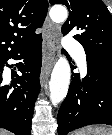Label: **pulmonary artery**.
I'll use <instances>...</instances> for the list:
<instances>
[{
  "instance_id": "obj_1",
  "label": "pulmonary artery",
  "mask_w": 112,
  "mask_h": 135,
  "mask_svg": "<svg viewBox=\"0 0 112 135\" xmlns=\"http://www.w3.org/2000/svg\"><path fill=\"white\" fill-rule=\"evenodd\" d=\"M64 46L77 61L82 71L86 70V56L82 46L74 39L67 37L64 40Z\"/></svg>"
}]
</instances>
